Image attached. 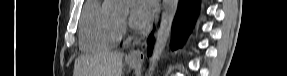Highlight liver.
I'll list each match as a JSON object with an SVG mask.
<instances>
[{"label": "liver", "mask_w": 287, "mask_h": 76, "mask_svg": "<svg viewBox=\"0 0 287 76\" xmlns=\"http://www.w3.org/2000/svg\"><path fill=\"white\" fill-rule=\"evenodd\" d=\"M123 57L107 50L81 56L75 61L74 76H121Z\"/></svg>", "instance_id": "6515ba94"}]
</instances>
